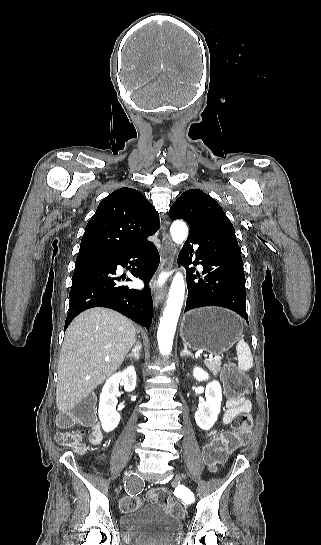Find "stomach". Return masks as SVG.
Wrapping results in <instances>:
<instances>
[{
	"label": "stomach",
	"instance_id": "stomach-1",
	"mask_svg": "<svg viewBox=\"0 0 321 545\" xmlns=\"http://www.w3.org/2000/svg\"><path fill=\"white\" fill-rule=\"evenodd\" d=\"M243 323L235 313L221 307H203L185 313L180 337L184 345L194 351H208L221 355L238 341Z\"/></svg>",
	"mask_w": 321,
	"mask_h": 545
}]
</instances>
